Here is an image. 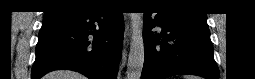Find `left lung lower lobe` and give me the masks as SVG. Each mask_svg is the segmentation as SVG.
<instances>
[{
	"instance_id": "0a47b994",
	"label": "left lung lower lobe",
	"mask_w": 255,
	"mask_h": 79,
	"mask_svg": "<svg viewBox=\"0 0 255 79\" xmlns=\"http://www.w3.org/2000/svg\"><path fill=\"white\" fill-rule=\"evenodd\" d=\"M156 13L153 20L152 12L144 13L141 79H166L179 74L218 79L206 19L163 7ZM155 26L162 27L161 34L151 32Z\"/></svg>"
}]
</instances>
